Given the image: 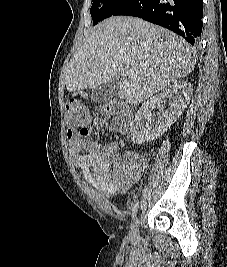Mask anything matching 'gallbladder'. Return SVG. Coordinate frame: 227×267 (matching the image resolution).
I'll return each instance as SVG.
<instances>
[{
  "label": "gallbladder",
  "mask_w": 227,
  "mask_h": 267,
  "mask_svg": "<svg viewBox=\"0 0 227 267\" xmlns=\"http://www.w3.org/2000/svg\"><path fill=\"white\" fill-rule=\"evenodd\" d=\"M118 90V80H111L101 86L94 88L90 98L94 102L103 103L112 98Z\"/></svg>",
  "instance_id": "1"
}]
</instances>
